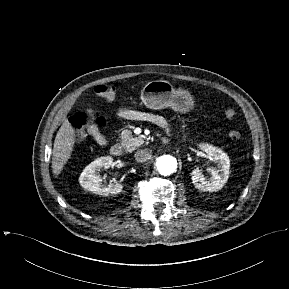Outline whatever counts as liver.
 I'll return each mask as SVG.
<instances>
[{
	"instance_id": "1",
	"label": "liver",
	"mask_w": 289,
	"mask_h": 289,
	"mask_svg": "<svg viewBox=\"0 0 289 289\" xmlns=\"http://www.w3.org/2000/svg\"><path fill=\"white\" fill-rule=\"evenodd\" d=\"M74 143L75 130L68 119H66L61 125L54 141L52 172L55 176L61 173L64 165L70 159Z\"/></svg>"
}]
</instances>
